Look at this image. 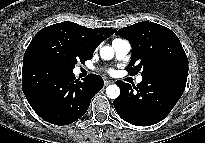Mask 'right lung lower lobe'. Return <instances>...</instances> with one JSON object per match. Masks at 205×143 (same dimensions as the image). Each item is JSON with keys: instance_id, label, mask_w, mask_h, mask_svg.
I'll return each mask as SVG.
<instances>
[{"instance_id": "98d812e1", "label": "right lung lower lobe", "mask_w": 205, "mask_h": 143, "mask_svg": "<svg viewBox=\"0 0 205 143\" xmlns=\"http://www.w3.org/2000/svg\"><path fill=\"white\" fill-rule=\"evenodd\" d=\"M104 82L90 74L83 82L72 70L44 58L23 59L22 89L38 116L55 125H68L81 118Z\"/></svg>"}]
</instances>
